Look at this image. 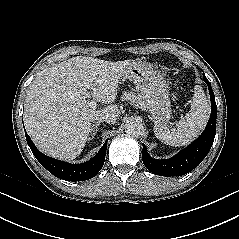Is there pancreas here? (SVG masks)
<instances>
[{
	"instance_id": "obj_1",
	"label": "pancreas",
	"mask_w": 239,
	"mask_h": 239,
	"mask_svg": "<svg viewBox=\"0 0 239 239\" xmlns=\"http://www.w3.org/2000/svg\"><path fill=\"white\" fill-rule=\"evenodd\" d=\"M121 99L122 101L129 100L133 104L141 103V98L138 97L134 92H123Z\"/></svg>"
}]
</instances>
